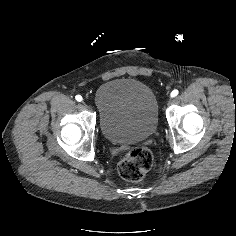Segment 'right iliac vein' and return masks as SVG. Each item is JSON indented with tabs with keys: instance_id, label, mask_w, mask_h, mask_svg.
Segmentation results:
<instances>
[{
	"instance_id": "right-iliac-vein-1",
	"label": "right iliac vein",
	"mask_w": 236,
	"mask_h": 236,
	"mask_svg": "<svg viewBox=\"0 0 236 236\" xmlns=\"http://www.w3.org/2000/svg\"><path fill=\"white\" fill-rule=\"evenodd\" d=\"M82 106H83L84 108H86L88 111H91V110L93 109V106H92L91 104H89L87 101H84V102L82 103Z\"/></svg>"
}]
</instances>
